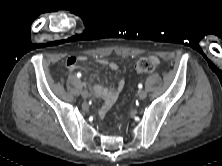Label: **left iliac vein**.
<instances>
[{
    "label": "left iliac vein",
    "instance_id": "obj_1",
    "mask_svg": "<svg viewBox=\"0 0 222 166\" xmlns=\"http://www.w3.org/2000/svg\"><path fill=\"white\" fill-rule=\"evenodd\" d=\"M138 96L140 99H145L147 96V92L145 90H139Z\"/></svg>",
    "mask_w": 222,
    "mask_h": 166
}]
</instances>
